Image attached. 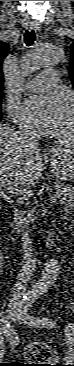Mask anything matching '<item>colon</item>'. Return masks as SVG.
<instances>
[{
    "label": "colon",
    "mask_w": 74,
    "mask_h": 366,
    "mask_svg": "<svg viewBox=\"0 0 74 366\" xmlns=\"http://www.w3.org/2000/svg\"><path fill=\"white\" fill-rule=\"evenodd\" d=\"M25 357L28 360H43L51 361L52 358L49 350L45 345L37 344L29 347L25 352ZM32 366H52L50 363L32 364Z\"/></svg>",
    "instance_id": "colon-1"
}]
</instances>
